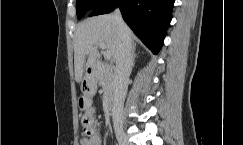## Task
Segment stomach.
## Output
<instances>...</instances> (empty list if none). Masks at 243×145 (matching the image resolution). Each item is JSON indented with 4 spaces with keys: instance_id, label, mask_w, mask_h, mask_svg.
Listing matches in <instances>:
<instances>
[{
    "instance_id": "stomach-1",
    "label": "stomach",
    "mask_w": 243,
    "mask_h": 145,
    "mask_svg": "<svg viewBox=\"0 0 243 145\" xmlns=\"http://www.w3.org/2000/svg\"><path fill=\"white\" fill-rule=\"evenodd\" d=\"M82 92L84 94L83 96V101H80V106H88L90 103V98L89 95L92 94L95 90V79L93 78H87L86 80H84L82 82V86H81Z\"/></svg>"
}]
</instances>
